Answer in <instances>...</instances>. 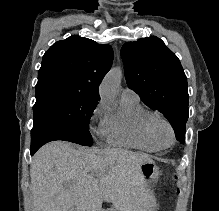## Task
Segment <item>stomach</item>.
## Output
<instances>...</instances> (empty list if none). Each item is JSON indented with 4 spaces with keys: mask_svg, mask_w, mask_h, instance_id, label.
<instances>
[{
    "mask_svg": "<svg viewBox=\"0 0 219 211\" xmlns=\"http://www.w3.org/2000/svg\"><path fill=\"white\" fill-rule=\"evenodd\" d=\"M141 175L145 182L155 181L159 176V167L155 162H147L141 166Z\"/></svg>",
    "mask_w": 219,
    "mask_h": 211,
    "instance_id": "0dacf381",
    "label": "stomach"
}]
</instances>
